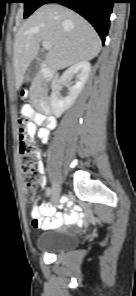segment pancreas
<instances>
[{
  "mask_svg": "<svg viewBox=\"0 0 136 296\" xmlns=\"http://www.w3.org/2000/svg\"><path fill=\"white\" fill-rule=\"evenodd\" d=\"M38 92H39V90H38V87H37V85H32V87H31V89H30V94L32 95V96H37L38 95Z\"/></svg>",
  "mask_w": 136,
  "mask_h": 296,
  "instance_id": "pancreas-1",
  "label": "pancreas"
}]
</instances>
